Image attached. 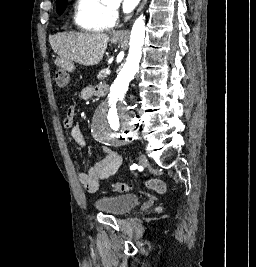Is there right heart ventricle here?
Returning <instances> with one entry per match:
<instances>
[{
	"mask_svg": "<svg viewBox=\"0 0 256 267\" xmlns=\"http://www.w3.org/2000/svg\"><path fill=\"white\" fill-rule=\"evenodd\" d=\"M110 3V0H79L78 9L86 11V18L77 23L87 36H106L99 26L109 15Z\"/></svg>",
	"mask_w": 256,
	"mask_h": 267,
	"instance_id": "1",
	"label": "right heart ventricle"
}]
</instances>
